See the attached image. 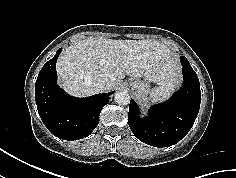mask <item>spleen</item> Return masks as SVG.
Here are the masks:
<instances>
[{"instance_id":"spleen-1","label":"spleen","mask_w":236,"mask_h":178,"mask_svg":"<svg viewBox=\"0 0 236 178\" xmlns=\"http://www.w3.org/2000/svg\"><path fill=\"white\" fill-rule=\"evenodd\" d=\"M172 92V84H160L151 90L149 100L152 103L167 99Z\"/></svg>"}]
</instances>
